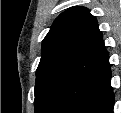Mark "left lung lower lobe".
Wrapping results in <instances>:
<instances>
[{
	"label": "left lung lower lobe",
	"mask_w": 121,
	"mask_h": 113,
	"mask_svg": "<svg viewBox=\"0 0 121 113\" xmlns=\"http://www.w3.org/2000/svg\"><path fill=\"white\" fill-rule=\"evenodd\" d=\"M110 64L80 98L71 113H113L114 94L110 84Z\"/></svg>",
	"instance_id": "obj_1"
}]
</instances>
